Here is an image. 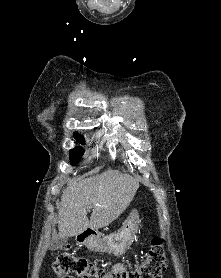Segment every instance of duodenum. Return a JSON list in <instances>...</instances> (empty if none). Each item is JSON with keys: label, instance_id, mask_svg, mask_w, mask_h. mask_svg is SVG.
Returning <instances> with one entry per match:
<instances>
[{"label": "duodenum", "instance_id": "410a0bca", "mask_svg": "<svg viewBox=\"0 0 221 278\" xmlns=\"http://www.w3.org/2000/svg\"><path fill=\"white\" fill-rule=\"evenodd\" d=\"M92 235H93L92 229L88 228V229L84 230L78 236L79 242L82 244L87 243L88 241L91 240Z\"/></svg>", "mask_w": 221, "mask_h": 278}]
</instances>
